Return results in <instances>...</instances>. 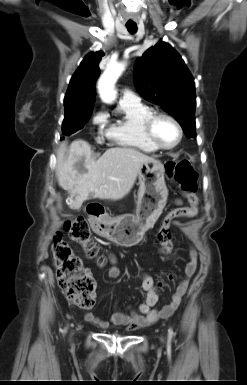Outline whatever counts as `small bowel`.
<instances>
[{
	"label": "small bowel",
	"mask_w": 247,
	"mask_h": 385,
	"mask_svg": "<svg viewBox=\"0 0 247 385\" xmlns=\"http://www.w3.org/2000/svg\"><path fill=\"white\" fill-rule=\"evenodd\" d=\"M174 203L180 206L179 209L185 210V213L182 215V217H195L198 214L199 200L196 196L195 201L189 202V206H182L181 199H176ZM177 225L181 226L182 224L177 223ZM189 256L190 259L184 267L183 278L180 281L176 291L174 292L171 301L163 308H155V305L158 301V292L162 287L163 282L160 281L156 283L149 274L138 270L136 274L142 282L143 289L147 292L146 299L139 306L138 311L130 309L128 312H125L115 308L109 321L96 316L92 312H88L85 315L86 321L100 328H108L111 323L116 326H126L129 330H136L141 327L150 325L159 319L169 318L179 307L182 298L188 289L190 279L193 277L197 269V252L194 249H191ZM108 259L111 264V267L108 271V276L110 278H117L120 275V270L117 267V257L114 254L109 253Z\"/></svg>",
	"instance_id": "c3829d8e"
}]
</instances>
